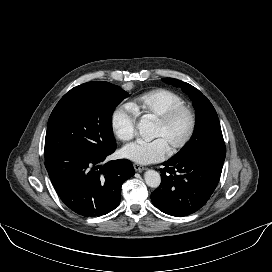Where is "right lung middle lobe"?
Wrapping results in <instances>:
<instances>
[{"instance_id":"right-lung-middle-lobe-1","label":"right lung middle lobe","mask_w":272,"mask_h":272,"mask_svg":"<svg viewBox=\"0 0 272 272\" xmlns=\"http://www.w3.org/2000/svg\"><path fill=\"white\" fill-rule=\"evenodd\" d=\"M127 95L119 86L92 81L81 94L59 101L48 120L45 158L61 150L99 151L116 144L111 116Z\"/></svg>"}]
</instances>
